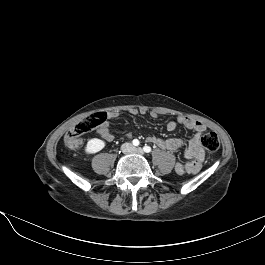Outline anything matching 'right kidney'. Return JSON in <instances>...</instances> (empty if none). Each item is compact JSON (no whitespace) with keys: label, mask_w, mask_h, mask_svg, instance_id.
Segmentation results:
<instances>
[{"label":"right kidney","mask_w":265,"mask_h":265,"mask_svg":"<svg viewBox=\"0 0 265 265\" xmlns=\"http://www.w3.org/2000/svg\"><path fill=\"white\" fill-rule=\"evenodd\" d=\"M105 147V142L98 138L90 139L85 146L86 154H95Z\"/></svg>","instance_id":"obj_1"}]
</instances>
